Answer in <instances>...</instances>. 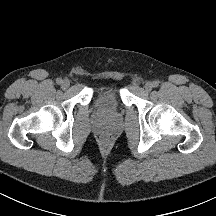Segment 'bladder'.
Here are the masks:
<instances>
[{
    "instance_id": "1",
    "label": "bladder",
    "mask_w": 216,
    "mask_h": 216,
    "mask_svg": "<svg viewBox=\"0 0 216 216\" xmlns=\"http://www.w3.org/2000/svg\"><path fill=\"white\" fill-rule=\"evenodd\" d=\"M92 107L105 118L116 117L123 108L121 91L115 86H101L94 89Z\"/></svg>"
}]
</instances>
